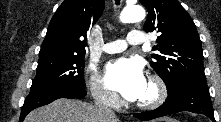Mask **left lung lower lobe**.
Returning <instances> with one entry per match:
<instances>
[{
	"mask_svg": "<svg viewBox=\"0 0 221 122\" xmlns=\"http://www.w3.org/2000/svg\"><path fill=\"white\" fill-rule=\"evenodd\" d=\"M181 111L204 114L215 121L206 81H184L172 91H168V98L163 105L155 110L134 114L133 116L148 121Z\"/></svg>",
	"mask_w": 221,
	"mask_h": 122,
	"instance_id": "left-lung-lower-lobe-1",
	"label": "left lung lower lobe"
}]
</instances>
